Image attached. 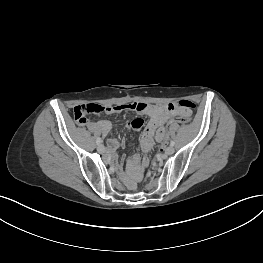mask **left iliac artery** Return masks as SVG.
<instances>
[{"instance_id":"obj_1","label":"left iliac artery","mask_w":263,"mask_h":263,"mask_svg":"<svg viewBox=\"0 0 263 263\" xmlns=\"http://www.w3.org/2000/svg\"><path fill=\"white\" fill-rule=\"evenodd\" d=\"M174 145H175V142H174V141H171V142H170V146L173 147Z\"/></svg>"}]
</instances>
